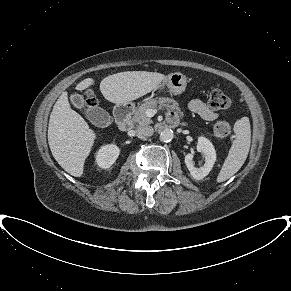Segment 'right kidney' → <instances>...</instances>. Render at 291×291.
<instances>
[{
    "instance_id": "1",
    "label": "right kidney",
    "mask_w": 291,
    "mask_h": 291,
    "mask_svg": "<svg viewBox=\"0 0 291 291\" xmlns=\"http://www.w3.org/2000/svg\"><path fill=\"white\" fill-rule=\"evenodd\" d=\"M119 152V148L114 144L102 146L96 153L98 166L104 169L109 168L118 158Z\"/></svg>"
}]
</instances>
